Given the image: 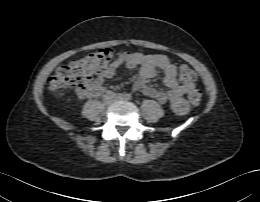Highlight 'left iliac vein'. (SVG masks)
<instances>
[{"label":"left iliac vein","instance_id":"left-iliac-vein-1","mask_svg":"<svg viewBox=\"0 0 260 202\" xmlns=\"http://www.w3.org/2000/svg\"><path fill=\"white\" fill-rule=\"evenodd\" d=\"M113 98L114 100H127L123 94H115Z\"/></svg>","mask_w":260,"mask_h":202}]
</instances>
